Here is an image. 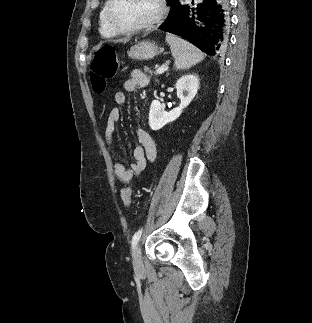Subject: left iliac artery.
<instances>
[{"label": "left iliac artery", "mask_w": 312, "mask_h": 323, "mask_svg": "<svg viewBox=\"0 0 312 323\" xmlns=\"http://www.w3.org/2000/svg\"><path fill=\"white\" fill-rule=\"evenodd\" d=\"M142 232H143V229H139V230L134 234V236H133V238H132V247H133V248L137 245V243H138V241H139V239H140V237H141V235H142Z\"/></svg>", "instance_id": "1"}]
</instances>
